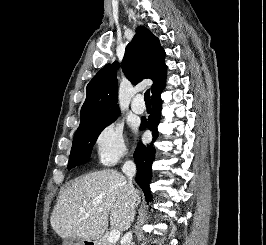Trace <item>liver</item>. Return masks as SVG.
Wrapping results in <instances>:
<instances>
[{
  "instance_id": "obj_1",
  "label": "liver",
  "mask_w": 266,
  "mask_h": 245,
  "mask_svg": "<svg viewBox=\"0 0 266 245\" xmlns=\"http://www.w3.org/2000/svg\"><path fill=\"white\" fill-rule=\"evenodd\" d=\"M135 191L136 197L131 199L126 177L114 169L83 175L62 189L51 213V227L61 239L74 241H98L108 229V219L112 229L127 231L141 201Z\"/></svg>"
}]
</instances>
